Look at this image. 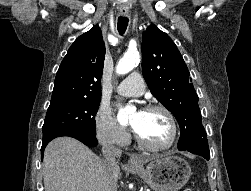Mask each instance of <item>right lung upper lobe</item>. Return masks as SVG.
I'll return each instance as SVG.
<instances>
[{"label":"right lung upper lobe","instance_id":"right-lung-upper-lobe-1","mask_svg":"<svg viewBox=\"0 0 251 191\" xmlns=\"http://www.w3.org/2000/svg\"><path fill=\"white\" fill-rule=\"evenodd\" d=\"M105 45L94 25L69 48L56 74L50 106L101 99Z\"/></svg>","mask_w":251,"mask_h":191}]
</instances>
